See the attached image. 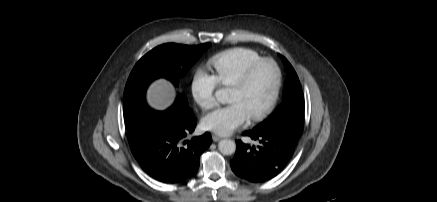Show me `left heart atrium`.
I'll return each instance as SVG.
<instances>
[{"mask_svg": "<svg viewBox=\"0 0 437 202\" xmlns=\"http://www.w3.org/2000/svg\"><path fill=\"white\" fill-rule=\"evenodd\" d=\"M248 118L249 116L242 104L233 102L205 115L202 125L206 130L220 135H227L246 123Z\"/></svg>", "mask_w": 437, "mask_h": 202, "instance_id": "obj_1", "label": "left heart atrium"}]
</instances>
